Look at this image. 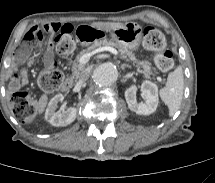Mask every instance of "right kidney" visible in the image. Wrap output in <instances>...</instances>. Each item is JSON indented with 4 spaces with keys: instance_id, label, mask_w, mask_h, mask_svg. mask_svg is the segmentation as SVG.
I'll use <instances>...</instances> for the list:
<instances>
[{
    "instance_id": "obj_1",
    "label": "right kidney",
    "mask_w": 215,
    "mask_h": 183,
    "mask_svg": "<svg viewBox=\"0 0 215 183\" xmlns=\"http://www.w3.org/2000/svg\"><path fill=\"white\" fill-rule=\"evenodd\" d=\"M63 100L64 96L62 94L55 95L50 100L45 112V119L50 122L51 125L56 127L67 126L76 119L77 109L74 107H70L63 112H56L57 104Z\"/></svg>"
}]
</instances>
